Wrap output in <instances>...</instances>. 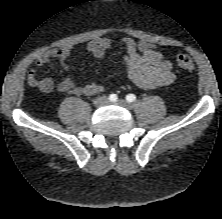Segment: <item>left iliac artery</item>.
I'll return each instance as SVG.
<instances>
[{
  "instance_id": "1",
  "label": "left iliac artery",
  "mask_w": 222,
  "mask_h": 219,
  "mask_svg": "<svg viewBox=\"0 0 222 219\" xmlns=\"http://www.w3.org/2000/svg\"><path fill=\"white\" fill-rule=\"evenodd\" d=\"M126 100H127L128 102H133V101L136 100V96H135L134 94H128V95L126 96Z\"/></svg>"
}]
</instances>
